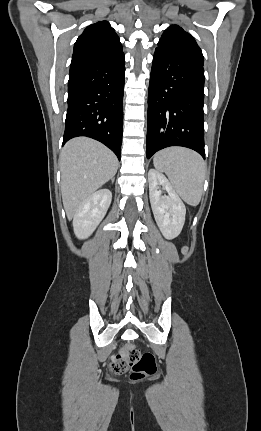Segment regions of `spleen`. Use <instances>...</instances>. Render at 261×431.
Listing matches in <instances>:
<instances>
[{
  "instance_id": "1",
  "label": "spleen",
  "mask_w": 261,
  "mask_h": 431,
  "mask_svg": "<svg viewBox=\"0 0 261 431\" xmlns=\"http://www.w3.org/2000/svg\"><path fill=\"white\" fill-rule=\"evenodd\" d=\"M154 167L165 172L179 196L189 205L201 200L206 166L199 154L185 148L171 147L159 151Z\"/></svg>"
}]
</instances>
